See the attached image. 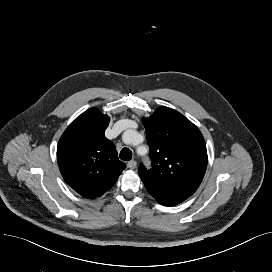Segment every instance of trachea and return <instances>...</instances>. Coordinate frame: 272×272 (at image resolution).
<instances>
[{"label":"trachea","mask_w":272,"mask_h":272,"mask_svg":"<svg viewBox=\"0 0 272 272\" xmlns=\"http://www.w3.org/2000/svg\"><path fill=\"white\" fill-rule=\"evenodd\" d=\"M132 158V151L129 148H123L120 152V159L129 161Z\"/></svg>","instance_id":"1"}]
</instances>
